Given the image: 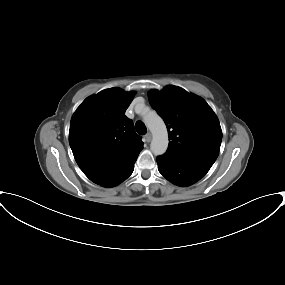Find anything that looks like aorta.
Returning <instances> with one entry per match:
<instances>
[{
  "label": "aorta",
  "mask_w": 285,
  "mask_h": 285,
  "mask_svg": "<svg viewBox=\"0 0 285 285\" xmlns=\"http://www.w3.org/2000/svg\"><path fill=\"white\" fill-rule=\"evenodd\" d=\"M146 126L152 133L150 149L154 155H162L168 148V132L163 119L154 111L144 117Z\"/></svg>",
  "instance_id": "762f6f07"
}]
</instances>
